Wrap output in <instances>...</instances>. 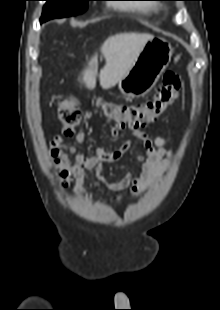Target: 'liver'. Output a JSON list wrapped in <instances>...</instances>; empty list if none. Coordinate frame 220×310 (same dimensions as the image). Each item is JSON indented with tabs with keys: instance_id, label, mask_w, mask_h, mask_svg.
Returning a JSON list of instances; mask_svg holds the SVG:
<instances>
[{
	"instance_id": "1",
	"label": "liver",
	"mask_w": 220,
	"mask_h": 310,
	"mask_svg": "<svg viewBox=\"0 0 220 310\" xmlns=\"http://www.w3.org/2000/svg\"><path fill=\"white\" fill-rule=\"evenodd\" d=\"M154 36L148 33H119L107 38L100 51L105 58V65L100 70L99 80L103 89H109L120 81L133 66L144 45ZM95 54L82 72V82L90 90L96 86Z\"/></svg>"
}]
</instances>
